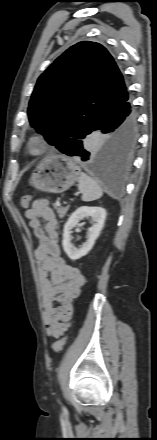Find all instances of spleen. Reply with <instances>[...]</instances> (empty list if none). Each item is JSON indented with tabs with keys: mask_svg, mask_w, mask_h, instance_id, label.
Returning <instances> with one entry per match:
<instances>
[{
	"mask_svg": "<svg viewBox=\"0 0 157 440\" xmlns=\"http://www.w3.org/2000/svg\"><path fill=\"white\" fill-rule=\"evenodd\" d=\"M78 189L82 193V201L90 202L102 197L103 191L99 184L86 173L79 175Z\"/></svg>",
	"mask_w": 157,
	"mask_h": 440,
	"instance_id": "obj_1",
	"label": "spleen"
}]
</instances>
